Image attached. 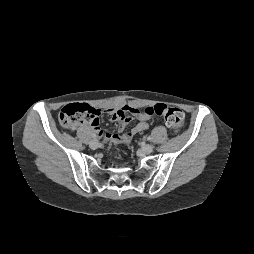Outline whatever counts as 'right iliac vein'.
Instances as JSON below:
<instances>
[{
  "instance_id": "obj_1",
  "label": "right iliac vein",
  "mask_w": 254,
  "mask_h": 254,
  "mask_svg": "<svg viewBox=\"0 0 254 254\" xmlns=\"http://www.w3.org/2000/svg\"><path fill=\"white\" fill-rule=\"evenodd\" d=\"M89 146H90V148H92V149H96V148H98V146H99V142H98L97 140H92V141L89 143Z\"/></svg>"
}]
</instances>
